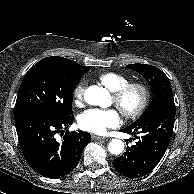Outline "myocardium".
<instances>
[{
  "mask_svg": "<svg viewBox=\"0 0 194 194\" xmlns=\"http://www.w3.org/2000/svg\"><path fill=\"white\" fill-rule=\"evenodd\" d=\"M133 90L139 91L140 101L136 107L127 109L124 106V102L128 94ZM150 95V88L147 84L143 82H129L118 90L112 92V99L124 117L128 119H135L141 116L146 110L150 101Z\"/></svg>",
  "mask_w": 194,
  "mask_h": 194,
  "instance_id": "myocardium-1",
  "label": "myocardium"
}]
</instances>
